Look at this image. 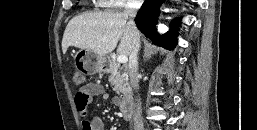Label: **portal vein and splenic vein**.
Returning a JSON list of instances; mask_svg holds the SVG:
<instances>
[{
    "label": "portal vein and splenic vein",
    "mask_w": 257,
    "mask_h": 130,
    "mask_svg": "<svg viewBox=\"0 0 257 130\" xmlns=\"http://www.w3.org/2000/svg\"><path fill=\"white\" fill-rule=\"evenodd\" d=\"M127 60H128V58H127V56H125V55H119V56L117 57V62H118V63H126Z\"/></svg>",
    "instance_id": "portal-vein-and-splenic-vein-1"
}]
</instances>
